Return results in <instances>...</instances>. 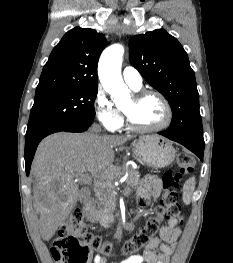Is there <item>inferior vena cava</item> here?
<instances>
[{
    "label": "inferior vena cava",
    "mask_w": 233,
    "mask_h": 263,
    "mask_svg": "<svg viewBox=\"0 0 233 263\" xmlns=\"http://www.w3.org/2000/svg\"><path fill=\"white\" fill-rule=\"evenodd\" d=\"M101 184H102L101 181H96V186H99V185H101Z\"/></svg>",
    "instance_id": "obj_1"
}]
</instances>
